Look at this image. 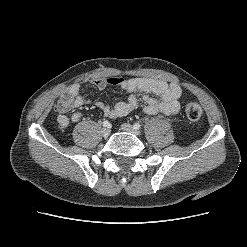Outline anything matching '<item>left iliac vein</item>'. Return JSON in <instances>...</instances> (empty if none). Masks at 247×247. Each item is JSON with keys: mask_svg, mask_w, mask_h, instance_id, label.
<instances>
[{"mask_svg": "<svg viewBox=\"0 0 247 247\" xmlns=\"http://www.w3.org/2000/svg\"><path fill=\"white\" fill-rule=\"evenodd\" d=\"M121 129L125 132L132 133L136 136H140L141 132L138 129H134L132 125L124 123L121 125Z\"/></svg>", "mask_w": 247, "mask_h": 247, "instance_id": "4c4485c4", "label": "left iliac vein"}]
</instances>
